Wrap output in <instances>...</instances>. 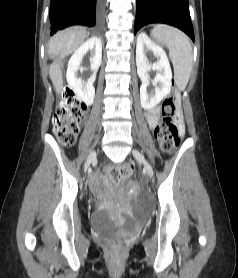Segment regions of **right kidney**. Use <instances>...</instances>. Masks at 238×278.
<instances>
[{
  "label": "right kidney",
  "mask_w": 238,
  "mask_h": 278,
  "mask_svg": "<svg viewBox=\"0 0 238 278\" xmlns=\"http://www.w3.org/2000/svg\"><path fill=\"white\" fill-rule=\"evenodd\" d=\"M92 52L91 70L93 74L88 79L85 85L82 84L81 79L76 77L77 71L83 69L80 67L83 56L88 52ZM102 62V42L100 38L92 37L84 42L71 56L67 68V82L80 99L87 105H92L95 97L94 82L96 73Z\"/></svg>",
  "instance_id": "right-kidney-1"
}]
</instances>
